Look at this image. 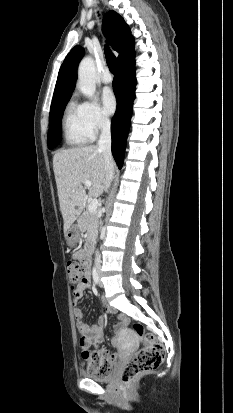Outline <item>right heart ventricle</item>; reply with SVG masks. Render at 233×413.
I'll return each instance as SVG.
<instances>
[{
    "mask_svg": "<svg viewBox=\"0 0 233 413\" xmlns=\"http://www.w3.org/2000/svg\"><path fill=\"white\" fill-rule=\"evenodd\" d=\"M62 129L65 143L68 146H83L93 139L85 125L80 105L74 102L70 103L65 110Z\"/></svg>",
    "mask_w": 233,
    "mask_h": 413,
    "instance_id": "obj_1",
    "label": "right heart ventricle"
}]
</instances>
